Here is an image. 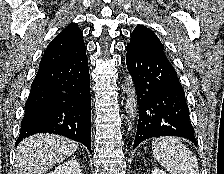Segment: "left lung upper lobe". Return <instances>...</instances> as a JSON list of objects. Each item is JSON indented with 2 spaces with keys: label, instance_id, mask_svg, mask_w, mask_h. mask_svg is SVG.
<instances>
[{
  "label": "left lung upper lobe",
  "instance_id": "obj_1",
  "mask_svg": "<svg viewBox=\"0 0 224 174\" xmlns=\"http://www.w3.org/2000/svg\"><path fill=\"white\" fill-rule=\"evenodd\" d=\"M143 50H162L164 47L153 31L145 26L138 25L131 34V41L127 45Z\"/></svg>",
  "mask_w": 224,
  "mask_h": 174
}]
</instances>
